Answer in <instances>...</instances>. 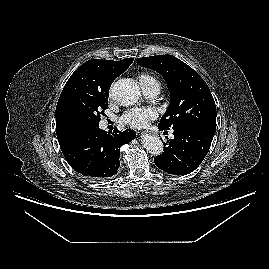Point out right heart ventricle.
I'll return each mask as SVG.
<instances>
[{
    "instance_id": "1",
    "label": "right heart ventricle",
    "mask_w": 269,
    "mask_h": 269,
    "mask_svg": "<svg viewBox=\"0 0 269 269\" xmlns=\"http://www.w3.org/2000/svg\"><path fill=\"white\" fill-rule=\"evenodd\" d=\"M147 80H155L152 76L148 75V74H141L140 75V81H147Z\"/></svg>"
}]
</instances>
